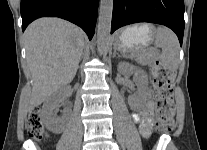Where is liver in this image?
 Here are the masks:
<instances>
[{"instance_id": "6515ba94", "label": "liver", "mask_w": 207, "mask_h": 150, "mask_svg": "<svg viewBox=\"0 0 207 150\" xmlns=\"http://www.w3.org/2000/svg\"><path fill=\"white\" fill-rule=\"evenodd\" d=\"M27 62L34 81L33 110L76 75L84 47L80 28L59 18H40L25 31Z\"/></svg>"}]
</instances>
